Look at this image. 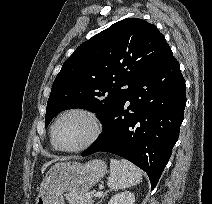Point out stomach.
Here are the masks:
<instances>
[{"label": "stomach", "instance_id": "obj_1", "mask_svg": "<svg viewBox=\"0 0 212 204\" xmlns=\"http://www.w3.org/2000/svg\"><path fill=\"white\" fill-rule=\"evenodd\" d=\"M105 172V162L98 159L85 164L76 161L56 163L43 178L35 204H65L64 192L86 193Z\"/></svg>", "mask_w": 212, "mask_h": 204}]
</instances>
